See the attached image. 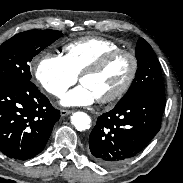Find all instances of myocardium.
I'll use <instances>...</instances> for the list:
<instances>
[{
    "label": "myocardium",
    "mask_w": 183,
    "mask_h": 183,
    "mask_svg": "<svg viewBox=\"0 0 183 183\" xmlns=\"http://www.w3.org/2000/svg\"><path fill=\"white\" fill-rule=\"evenodd\" d=\"M120 55H126L130 59L131 61L130 73L126 81L124 82V84L118 90H116L114 93L110 94L107 97L97 99V102L100 104H111L118 101L131 88L139 68V62L136 54L127 49H117V50L111 51L106 55H104L103 57H101L100 59H98L92 65L87 67L80 74L79 81L81 82L82 78H84L85 76L96 74L102 71L103 69H105L115 58H117Z\"/></svg>",
    "instance_id": "f54148a6"
}]
</instances>
